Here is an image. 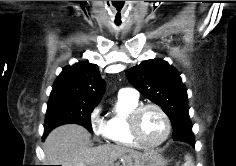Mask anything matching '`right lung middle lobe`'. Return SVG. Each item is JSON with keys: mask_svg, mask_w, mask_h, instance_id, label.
I'll return each instance as SVG.
<instances>
[{"mask_svg": "<svg viewBox=\"0 0 236 166\" xmlns=\"http://www.w3.org/2000/svg\"><path fill=\"white\" fill-rule=\"evenodd\" d=\"M95 106L96 103L71 99L50 100L47 106L44 135L53 128L67 123L82 125L91 132L90 114Z\"/></svg>", "mask_w": 236, "mask_h": 166, "instance_id": "obj_1", "label": "right lung middle lobe"}]
</instances>
